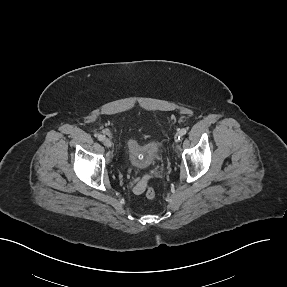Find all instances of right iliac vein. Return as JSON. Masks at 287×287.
<instances>
[{"label": "right iliac vein", "instance_id": "63e3f726", "mask_svg": "<svg viewBox=\"0 0 287 287\" xmlns=\"http://www.w3.org/2000/svg\"><path fill=\"white\" fill-rule=\"evenodd\" d=\"M103 144H104V146L107 147V148L112 147V142H111V140L108 139V138H106V139L103 140Z\"/></svg>", "mask_w": 287, "mask_h": 287}]
</instances>
